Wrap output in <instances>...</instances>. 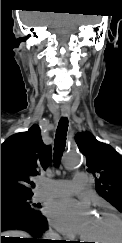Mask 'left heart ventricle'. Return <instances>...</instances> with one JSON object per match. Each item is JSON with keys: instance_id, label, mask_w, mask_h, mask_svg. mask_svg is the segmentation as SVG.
<instances>
[{"instance_id": "1", "label": "left heart ventricle", "mask_w": 122, "mask_h": 243, "mask_svg": "<svg viewBox=\"0 0 122 243\" xmlns=\"http://www.w3.org/2000/svg\"><path fill=\"white\" fill-rule=\"evenodd\" d=\"M118 234L117 223L112 218L99 214L91 218L83 238L95 240V243H114Z\"/></svg>"}]
</instances>
